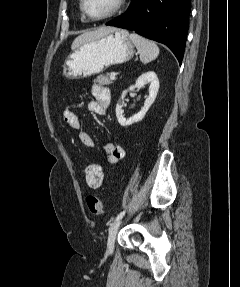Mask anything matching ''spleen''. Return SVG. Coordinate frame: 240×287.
Masks as SVG:
<instances>
[{"instance_id": "obj_1", "label": "spleen", "mask_w": 240, "mask_h": 287, "mask_svg": "<svg viewBox=\"0 0 240 287\" xmlns=\"http://www.w3.org/2000/svg\"><path fill=\"white\" fill-rule=\"evenodd\" d=\"M130 40L134 43L143 64H147L159 55V48L155 42L150 41L137 33L130 34Z\"/></svg>"}]
</instances>
